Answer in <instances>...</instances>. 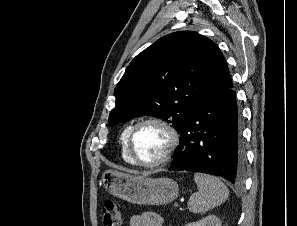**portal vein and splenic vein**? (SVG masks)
Instances as JSON below:
<instances>
[{"label": "portal vein and splenic vein", "mask_w": 297, "mask_h": 226, "mask_svg": "<svg viewBox=\"0 0 297 226\" xmlns=\"http://www.w3.org/2000/svg\"><path fill=\"white\" fill-rule=\"evenodd\" d=\"M174 207H175V208H178V207H179V204H178L177 202H175V203H174Z\"/></svg>", "instance_id": "portal-vein-and-splenic-vein-1"}]
</instances>
